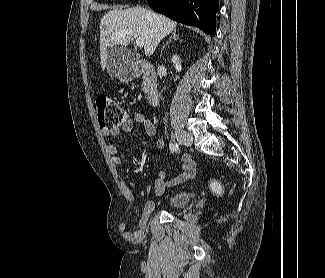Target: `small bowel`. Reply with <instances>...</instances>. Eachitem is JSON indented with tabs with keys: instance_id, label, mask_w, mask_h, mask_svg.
I'll return each instance as SVG.
<instances>
[{
	"instance_id": "obj_1",
	"label": "small bowel",
	"mask_w": 325,
	"mask_h": 278,
	"mask_svg": "<svg viewBox=\"0 0 325 278\" xmlns=\"http://www.w3.org/2000/svg\"><path fill=\"white\" fill-rule=\"evenodd\" d=\"M143 125L146 135L149 138H153L156 133V127L154 122L144 113H136L133 117V119H127L120 127L113 129V130H105L102 131V134L104 136H112L117 137L121 133H129L134 129V126ZM156 146L158 149L162 150L164 148V141L162 139H158L156 142ZM107 151L112 157V162L115 165H120L122 162V159L119 155V146L117 144H108L107 145ZM181 165H182V173L177 175L176 177L172 178L171 180L166 179V175L164 172H160L158 178L156 179L154 183V191L155 194L160 196L164 193L165 189L167 187L175 186L177 184L183 183L189 179H191L195 174V164L191 157L189 155H184L181 159ZM132 185L135 187H140L139 183L137 181H132ZM146 192H149L151 190V187L148 186L144 188ZM147 207L150 209L153 207L152 203H149ZM125 230V228L123 227Z\"/></svg>"
}]
</instances>
